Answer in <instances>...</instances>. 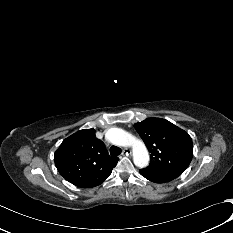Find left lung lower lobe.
Here are the masks:
<instances>
[{
    "label": "left lung lower lobe",
    "instance_id": "left-lung-lower-lobe-1",
    "mask_svg": "<svg viewBox=\"0 0 233 233\" xmlns=\"http://www.w3.org/2000/svg\"><path fill=\"white\" fill-rule=\"evenodd\" d=\"M140 174H141L143 177H145L146 179H148V180H150V181H152V182H155V183H164V182H161V181H159V180H157V179L152 178L151 176L145 174V173L142 172L141 170H140Z\"/></svg>",
    "mask_w": 233,
    "mask_h": 233
}]
</instances>
